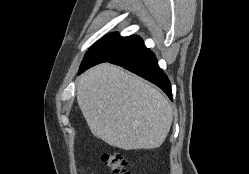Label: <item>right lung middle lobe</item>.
Segmentation results:
<instances>
[{"label": "right lung middle lobe", "mask_w": 249, "mask_h": 174, "mask_svg": "<svg viewBox=\"0 0 249 174\" xmlns=\"http://www.w3.org/2000/svg\"><path fill=\"white\" fill-rule=\"evenodd\" d=\"M142 45H144L143 40L137 35L121 37L118 33H111L97 41L89 49L80 68L87 67L99 61L117 58Z\"/></svg>", "instance_id": "1"}]
</instances>
